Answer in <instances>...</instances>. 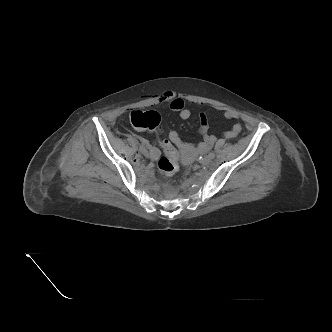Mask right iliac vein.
I'll list each match as a JSON object with an SVG mask.
<instances>
[{"mask_svg":"<svg viewBox=\"0 0 332 332\" xmlns=\"http://www.w3.org/2000/svg\"><path fill=\"white\" fill-rule=\"evenodd\" d=\"M139 151H140L142 154L146 153V148H145V146L140 145V147H139Z\"/></svg>","mask_w":332,"mask_h":332,"instance_id":"right-iliac-vein-1","label":"right iliac vein"}]
</instances>
